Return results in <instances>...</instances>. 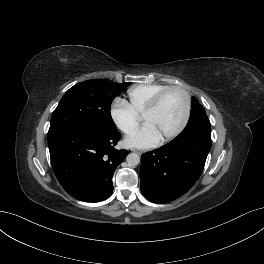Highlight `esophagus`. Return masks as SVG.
<instances>
[{"label": "esophagus", "instance_id": "esophagus-1", "mask_svg": "<svg viewBox=\"0 0 264 264\" xmlns=\"http://www.w3.org/2000/svg\"><path fill=\"white\" fill-rule=\"evenodd\" d=\"M134 152H137L138 154H142L143 152L142 151H139V150H133Z\"/></svg>", "mask_w": 264, "mask_h": 264}]
</instances>
